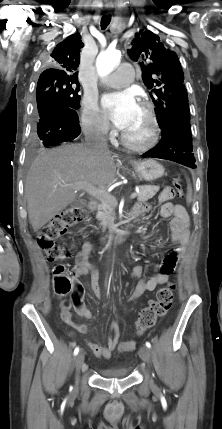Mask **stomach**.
Masks as SVG:
<instances>
[{"label": "stomach", "mask_w": 222, "mask_h": 429, "mask_svg": "<svg viewBox=\"0 0 222 429\" xmlns=\"http://www.w3.org/2000/svg\"><path fill=\"white\" fill-rule=\"evenodd\" d=\"M139 179L145 181H154L164 175V167L155 160L148 159L144 161L131 162Z\"/></svg>", "instance_id": "1"}]
</instances>
